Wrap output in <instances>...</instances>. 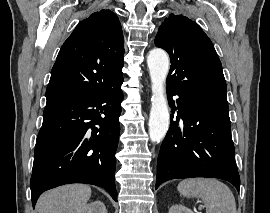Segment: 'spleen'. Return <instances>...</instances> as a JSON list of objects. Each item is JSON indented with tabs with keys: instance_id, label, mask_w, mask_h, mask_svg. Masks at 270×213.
I'll list each match as a JSON object with an SVG mask.
<instances>
[{
	"instance_id": "obj_1",
	"label": "spleen",
	"mask_w": 270,
	"mask_h": 213,
	"mask_svg": "<svg viewBox=\"0 0 270 213\" xmlns=\"http://www.w3.org/2000/svg\"><path fill=\"white\" fill-rule=\"evenodd\" d=\"M184 197L201 198L206 213H236V202L231 190L222 182L212 178L184 179L178 184Z\"/></svg>"
}]
</instances>
